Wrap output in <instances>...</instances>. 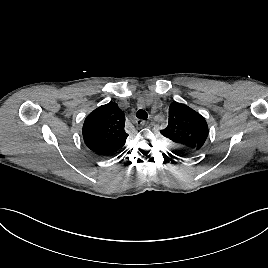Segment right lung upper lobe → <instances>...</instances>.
I'll return each instance as SVG.
<instances>
[{
  "mask_svg": "<svg viewBox=\"0 0 268 268\" xmlns=\"http://www.w3.org/2000/svg\"><path fill=\"white\" fill-rule=\"evenodd\" d=\"M125 116L115 102L92 111L83 124V139L87 147L103 157L113 156L124 146L128 134L124 130Z\"/></svg>",
  "mask_w": 268,
  "mask_h": 268,
  "instance_id": "cb5924a9",
  "label": "right lung upper lobe"
}]
</instances>
